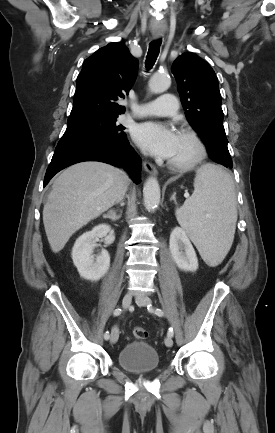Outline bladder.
Returning a JSON list of instances; mask_svg holds the SVG:
<instances>
[{
  "mask_svg": "<svg viewBox=\"0 0 275 433\" xmlns=\"http://www.w3.org/2000/svg\"><path fill=\"white\" fill-rule=\"evenodd\" d=\"M119 366L127 372L141 374L160 368L159 355L149 343L131 341L124 345L117 356Z\"/></svg>",
  "mask_w": 275,
  "mask_h": 433,
  "instance_id": "1",
  "label": "bladder"
}]
</instances>
